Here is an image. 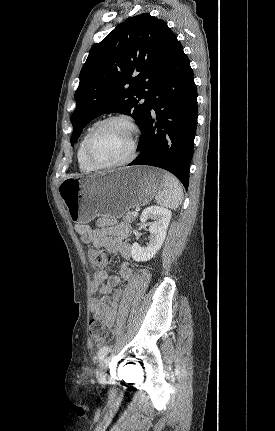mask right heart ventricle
Returning <instances> with one entry per match:
<instances>
[{"mask_svg": "<svg viewBox=\"0 0 275 431\" xmlns=\"http://www.w3.org/2000/svg\"><path fill=\"white\" fill-rule=\"evenodd\" d=\"M95 124H96V123L91 124V125H90L86 130H85V132H84V134H83V136H82V138H81V140H80V143H79V146H78V150H77V160H78V165H79V168H80L82 171H84V172H91V171L95 170L94 168H92V167H91V166L86 162L85 157H84V151H83V147H84L85 139H86V137H87V135H88L89 131L92 129V127H93Z\"/></svg>", "mask_w": 275, "mask_h": 431, "instance_id": "e07e8e85", "label": "right heart ventricle"}]
</instances>
